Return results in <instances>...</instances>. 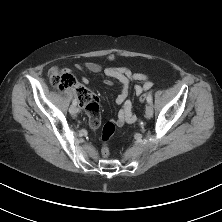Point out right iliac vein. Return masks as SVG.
<instances>
[{
	"mask_svg": "<svg viewBox=\"0 0 222 222\" xmlns=\"http://www.w3.org/2000/svg\"><path fill=\"white\" fill-rule=\"evenodd\" d=\"M69 112L72 114V115H75L78 113V108L76 107V105H71L70 108H69Z\"/></svg>",
	"mask_w": 222,
	"mask_h": 222,
	"instance_id": "right-iliac-vein-1",
	"label": "right iliac vein"
}]
</instances>
